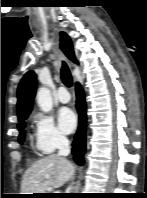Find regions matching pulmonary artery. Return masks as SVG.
Instances as JSON below:
<instances>
[{
    "label": "pulmonary artery",
    "mask_w": 147,
    "mask_h": 198,
    "mask_svg": "<svg viewBox=\"0 0 147 198\" xmlns=\"http://www.w3.org/2000/svg\"><path fill=\"white\" fill-rule=\"evenodd\" d=\"M57 98H58L59 102H61L63 104L68 103L71 100V96H70L69 92L64 87L59 88Z\"/></svg>",
    "instance_id": "obj_1"
}]
</instances>
